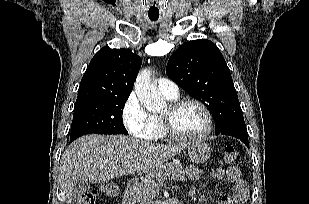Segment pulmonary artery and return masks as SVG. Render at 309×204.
<instances>
[{
	"mask_svg": "<svg viewBox=\"0 0 309 204\" xmlns=\"http://www.w3.org/2000/svg\"><path fill=\"white\" fill-rule=\"evenodd\" d=\"M156 84L159 92L166 97L176 98L179 94L178 86L170 79L158 78Z\"/></svg>",
	"mask_w": 309,
	"mask_h": 204,
	"instance_id": "e3ab8cb5",
	"label": "pulmonary artery"
}]
</instances>
